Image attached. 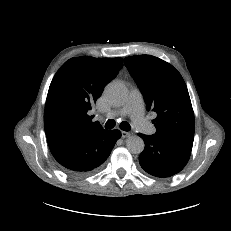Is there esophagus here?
<instances>
[{
	"mask_svg": "<svg viewBox=\"0 0 231 231\" xmlns=\"http://www.w3.org/2000/svg\"><path fill=\"white\" fill-rule=\"evenodd\" d=\"M121 135H122V138H127V137H130L132 133L128 131H121Z\"/></svg>",
	"mask_w": 231,
	"mask_h": 231,
	"instance_id": "obj_1",
	"label": "esophagus"
}]
</instances>
